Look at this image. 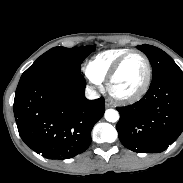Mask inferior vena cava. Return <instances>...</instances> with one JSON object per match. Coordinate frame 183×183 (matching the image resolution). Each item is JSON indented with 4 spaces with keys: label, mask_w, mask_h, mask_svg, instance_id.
Here are the masks:
<instances>
[{
    "label": "inferior vena cava",
    "mask_w": 183,
    "mask_h": 183,
    "mask_svg": "<svg viewBox=\"0 0 183 183\" xmlns=\"http://www.w3.org/2000/svg\"><path fill=\"white\" fill-rule=\"evenodd\" d=\"M85 97L89 100H93L99 98V94L93 88L87 87L85 91Z\"/></svg>",
    "instance_id": "1"
}]
</instances>
